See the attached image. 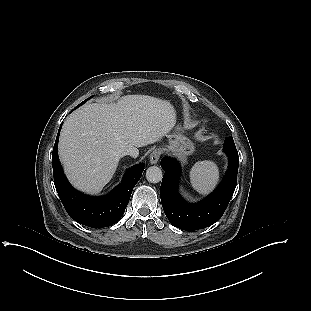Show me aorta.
Returning <instances> with one entry per match:
<instances>
[{
    "label": "aorta",
    "mask_w": 311,
    "mask_h": 311,
    "mask_svg": "<svg viewBox=\"0 0 311 311\" xmlns=\"http://www.w3.org/2000/svg\"><path fill=\"white\" fill-rule=\"evenodd\" d=\"M162 177V170L157 166H151L146 170V179L150 183H159Z\"/></svg>",
    "instance_id": "762f6f07"
}]
</instances>
